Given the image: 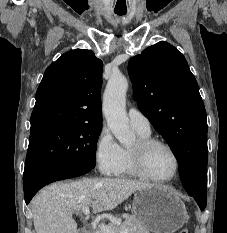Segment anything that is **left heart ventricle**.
<instances>
[{"mask_svg":"<svg viewBox=\"0 0 227 233\" xmlns=\"http://www.w3.org/2000/svg\"><path fill=\"white\" fill-rule=\"evenodd\" d=\"M146 166L148 171L158 178H168L175 170L173 156L166 148L160 146L149 151L146 157Z\"/></svg>","mask_w":227,"mask_h":233,"instance_id":"left-heart-ventricle-1","label":"left heart ventricle"}]
</instances>
